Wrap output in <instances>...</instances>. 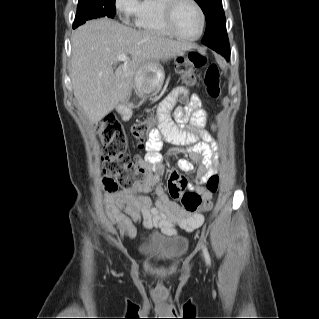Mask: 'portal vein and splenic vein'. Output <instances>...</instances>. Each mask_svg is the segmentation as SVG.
<instances>
[{"mask_svg": "<svg viewBox=\"0 0 319 319\" xmlns=\"http://www.w3.org/2000/svg\"><path fill=\"white\" fill-rule=\"evenodd\" d=\"M116 59L118 61H126L128 59V57L125 54H119V55H117Z\"/></svg>", "mask_w": 319, "mask_h": 319, "instance_id": "obj_1", "label": "portal vein and splenic vein"}]
</instances>
